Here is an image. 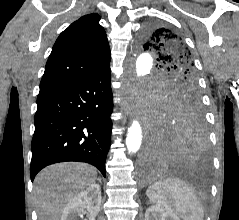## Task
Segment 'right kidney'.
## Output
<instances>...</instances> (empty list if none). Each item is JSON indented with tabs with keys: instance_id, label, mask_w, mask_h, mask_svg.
<instances>
[{
	"instance_id": "ca27d5eb",
	"label": "right kidney",
	"mask_w": 239,
	"mask_h": 220,
	"mask_svg": "<svg viewBox=\"0 0 239 220\" xmlns=\"http://www.w3.org/2000/svg\"><path fill=\"white\" fill-rule=\"evenodd\" d=\"M101 206V188L98 184H91L74 196L64 207L60 220H76L87 208L88 220H95ZM86 220V219H85Z\"/></svg>"
}]
</instances>
